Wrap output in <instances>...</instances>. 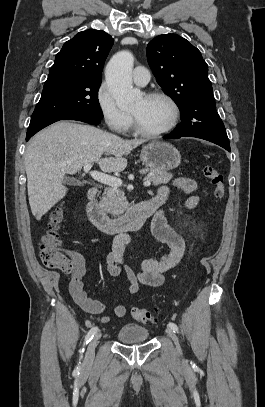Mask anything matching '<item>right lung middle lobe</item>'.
Masks as SVG:
<instances>
[{
    "label": "right lung middle lobe",
    "instance_id": "obj_1",
    "mask_svg": "<svg viewBox=\"0 0 265 407\" xmlns=\"http://www.w3.org/2000/svg\"><path fill=\"white\" fill-rule=\"evenodd\" d=\"M101 80H91L68 74L50 76L30 121L28 134L62 119L88 115L99 119L103 114L98 102Z\"/></svg>",
    "mask_w": 265,
    "mask_h": 407
}]
</instances>
